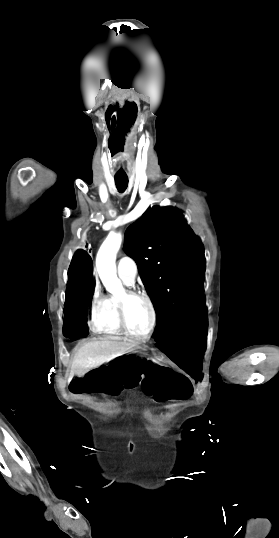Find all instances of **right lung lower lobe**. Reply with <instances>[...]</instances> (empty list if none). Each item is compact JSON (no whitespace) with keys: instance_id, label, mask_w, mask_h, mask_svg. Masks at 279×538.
I'll list each match as a JSON object with an SVG mask.
<instances>
[{"instance_id":"98d812e1","label":"right lung lower lobe","mask_w":279,"mask_h":538,"mask_svg":"<svg viewBox=\"0 0 279 538\" xmlns=\"http://www.w3.org/2000/svg\"><path fill=\"white\" fill-rule=\"evenodd\" d=\"M93 263L90 256L78 250L68 271V285L64 305L65 337L80 338L88 334L86 307L93 297Z\"/></svg>"}]
</instances>
